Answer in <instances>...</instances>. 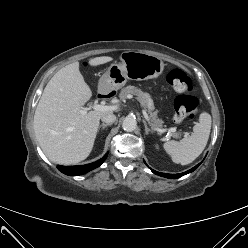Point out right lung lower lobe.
Returning a JSON list of instances; mask_svg holds the SVG:
<instances>
[{"mask_svg":"<svg viewBox=\"0 0 248 248\" xmlns=\"http://www.w3.org/2000/svg\"><path fill=\"white\" fill-rule=\"evenodd\" d=\"M107 154L104 155L103 158H101L100 160L90 163V164H86V165H79V166H60L58 165L57 168L64 174L66 175H82L85 174L97 167H99L107 158Z\"/></svg>","mask_w":248,"mask_h":248,"instance_id":"1","label":"right lung lower lobe"}]
</instances>
